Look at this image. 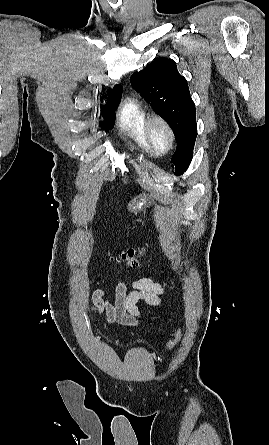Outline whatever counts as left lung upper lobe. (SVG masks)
<instances>
[{"label":"left lung upper lobe","mask_w":269,"mask_h":445,"mask_svg":"<svg viewBox=\"0 0 269 445\" xmlns=\"http://www.w3.org/2000/svg\"><path fill=\"white\" fill-rule=\"evenodd\" d=\"M130 82L173 129L177 148L172 167L175 174L183 173L192 160L197 137L196 109L187 80L179 74L175 61L159 58L134 73Z\"/></svg>","instance_id":"1"}]
</instances>
